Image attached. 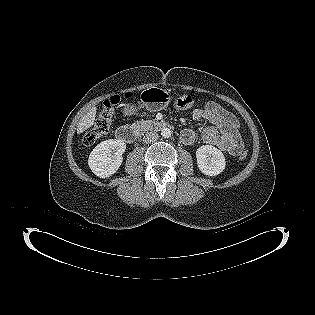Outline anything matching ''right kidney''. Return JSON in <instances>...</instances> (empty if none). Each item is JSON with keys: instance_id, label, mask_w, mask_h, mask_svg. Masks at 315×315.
<instances>
[{"instance_id": "obj_1", "label": "right kidney", "mask_w": 315, "mask_h": 315, "mask_svg": "<svg viewBox=\"0 0 315 315\" xmlns=\"http://www.w3.org/2000/svg\"><path fill=\"white\" fill-rule=\"evenodd\" d=\"M126 144L122 140L109 139L98 144L89 155L88 165L100 178L112 176L122 164Z\"/></svg>"}]
</instances>
